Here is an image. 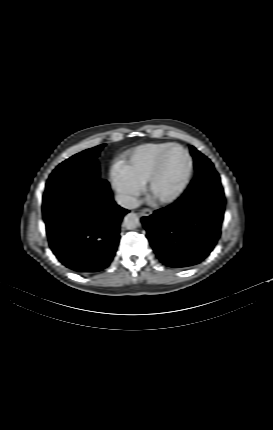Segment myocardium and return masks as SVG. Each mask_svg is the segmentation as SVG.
Instances as JSON below:
<instances>
[{"mask_svg":"<svg viewBox=\"0 0 273 430\" xmlns=\"http://www.w3.org/2000/svg\"><path fill=\"white\" fill-rule=\"evenodd\" d=\"M174 149H179L183 152V154L185 155L187 161H188V169L186 172V175L182 181V183L179 185V187L170 195L168 196H164V197H158L154 194V185L161 173L162 170V166L164 163V160L167 156V154L174 150ZM193 172H194V163H193V159L191 157V155L189 154V152L181 145L179 144H172L169 147H167L166 149H164L161 154L159 155L154 168L152 169L147 182H146V191L147 194L149 196V198L157 203V204H161V205H166V204H171L173 202H175L176 200H178L182 194L186 191V189L188 188L192 176H193Z\"/></svg>","mask_w":273,"mask_h":430,"instance_id":"1","label":"myocardium"}]
</instances>
